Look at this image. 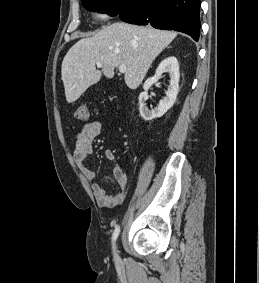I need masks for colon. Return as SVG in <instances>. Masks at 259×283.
Segmentation results:
<instances>
[{
	"label": "colon",
	"mask_w": 259,
	"mask_h": 283,
	"mask_svg": "<svg viewBox=\"0 0 259 283\" xmlns=\"http://www.w3.org/2000/svg\"><path fill=\"white\" fill-rule=\"evenodd\" d=\"M89 117L88 108L86 104H81L75 111V118L79 121H86Z\"/></svg>",
	"instance_id": "5ec220e1"
}]
</instances>
